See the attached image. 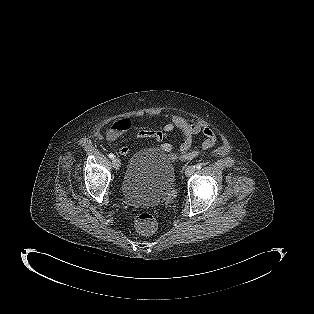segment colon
<instances>
[{
	"label": "colon",
	"mask_w": 314,
	"mask_h": 314,
	"mask_svg": "<svg viewBox=\"0 0 314 314\" xmlns=\"http://www.w3.org/2000/svg\"><path fill=\"white\" fill-rule=\"evenodd\" d=\"M129 127L127 120H119L113 124L110 130L112 136H117ZM135 227L137 231L143 236H151L156 230V221L152 214L142 212L135 218Z\"/></svg>",
	"instance_id": "5ec220e1"
}]
</instances>
